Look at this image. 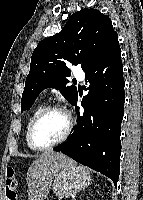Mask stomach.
I'll use <instances>...</instances> for the list:
<instances>
[{"instance_id":"1","label":"stomach","mask_w":143,"mask_h":200,"mask_svg":"<svg viewBox=\"0 0 143 200\" xmlns=\"http://www.w3.org/2000/svg\"><path fill=\"white\" fill-rule=\"evenodd\" d=\"M91 175L88 168L72 164L59 170L53 182V192L62 200L89 186Z\"/></svg>"}]
</instances>
